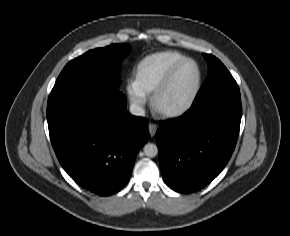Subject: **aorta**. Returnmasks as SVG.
Returning a JSON list of instances; mask_svg holds the SVG:
<instances>
[{
	"label": "aorta",
	"instance_id": "762f6f07",
	"mask_svg": "<svg viewBox=\"0 0 290 236\" xmlns=\"http://www.w3.org/2000/svg\"><path fill=\"white\" fill-rule=\"evenodd\" d=\"M144 154L148 157H155L158 154V148L153 143H147L144 146Z\"/></svg>",
	"mask_w": 290,
	"mask_h": 236
}]
</instances>
